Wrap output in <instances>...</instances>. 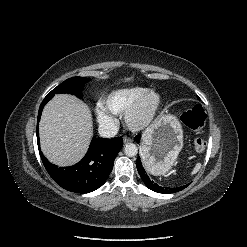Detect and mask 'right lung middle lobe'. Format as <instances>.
<instances>
[{
  "label": "right lung middle lobe",
  "instance_id": "1",
  "mask_svg": "<svg viewBox=\"0 0 247 247\" xmlns=\"http://www.w3.org/2000/svg\"><path fill=\"white\" fill-rule=\"evenodd\" d=\"M89 78H82V77H73L65 80L63 83H61L59 86H57L55 89H53L47 96L53 97L55 94L60 93H69L74 94L78 96L79 98H82V90L84 88V85L89 82Z\"/></svg>",
  "mask_w": 247,
  "mask_h": 247
}]
</instances>
